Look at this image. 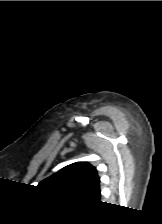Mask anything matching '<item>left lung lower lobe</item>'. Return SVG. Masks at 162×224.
Returning <instances> with one entry per match:
<instances>
[{
	"label": "left lung lower lobe",
	"mask_w": 162,
	"mask_h": 224,
	"mask_svg": "<svg viewBox=\"0 0 162 224\" xmlns=\"http://www.w3.org/2000/svg\"><path fill=\"white\" fill-rule=\"evenodd\" d=\"M92 200L99 202L100 201V190L96 192L92 197Z\"/></svg>",
	"instance_id": "0a47b994"
}]
</instances>
